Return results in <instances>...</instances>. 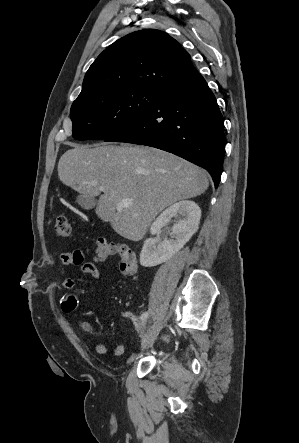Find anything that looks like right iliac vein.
Masks as SVG:
<instances>
[{"instance_id": "right-iliac-vein-1", "label": "right iliac vein", "mask_w": 299, "mask_h": 443, "mask_svg": "<svg viewBox=\"0 0 299 443\" xmlns=\"http://www.w3.org/2000/svg\"><path fill=\"white\" fill-rule=\"evenodd\" d=\"M161 327H162L161 323H155L148 328L147 332L145 333L142 339L141 343L142 349H145L154 343L161 330Z\"/></svg>"}]
</instances>
